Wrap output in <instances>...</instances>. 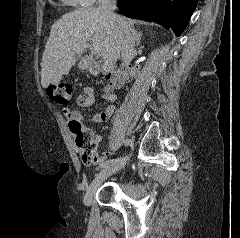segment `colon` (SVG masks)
Masks as SVG:
<instances>
[{"mask_svg":"<svg viewBox=\"0 0 240 238\" xmlns=\"http://www.w3.org/2000/svg\"><path fill=\"white\" fill-rule=\"evenodd\" d=\"M131 71L113 72L107 76L108 86L107 94L119 87L123 81L130 77ZM48 96L55 102L59 104L66 103L73 94V88L68 83H59L50 85L47 88ZM68 126L75 138V143L80 151V154L84 161L92 162V157L94 153H97V143L95 141L92 130L83 127L80 121L76 119H71L68 121Z\"/></svg>","mask_w":240,"mask_h":238,"instance_id":"5ec220e1","label":"colon"}]
</instances>
